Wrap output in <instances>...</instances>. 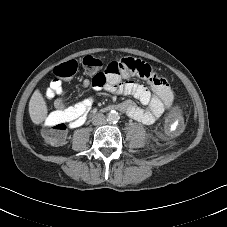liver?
I'll use <instances>...</instances> for the list:
<instances>
[{
    "label": "liver",
    "mask_w": 227,
    "mask_h": 227,
    "mask_svg": "<svg viewBox=\"0 0 227 227\" xmlns=\"http://www.w3.org/2000/svg\"><path fill=\"white\" fill-rule=\"evenodd\" d=\"M48 109L46 102L38 89L31 96L29 102V115L34 124H40L47 116Z\"/></svg>",
    "instance_id": "liver-1"
}]
</instances>
